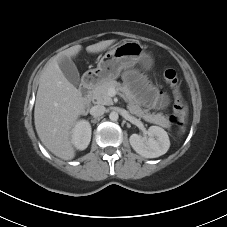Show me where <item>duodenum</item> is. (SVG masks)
Wrapping results in <instances>:
<instances>
[{
  "label": "duodenum",
  "mask_w": 227,
  "mask_h": 227,
  "mask_svg": "<svg viewBox=\"0 0 227 227\" xmlns=\"http://www.w3.org/2000/svg\"><path fill=\"white\" fill-rule=\"evenodd\" d=\"M95 79L93 76H85L81 84V93H82V105H87L89 103V94L94 85Z\"/></svg>",
  "instance_id": "duodenum-1"
}]
</instances>
